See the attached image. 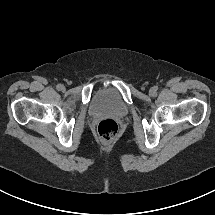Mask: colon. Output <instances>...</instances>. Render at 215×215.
Returning a JSON list of instances; mask_svg holds the SVG:
<instances>
[{
  "instance_id": "obj_1",
  "label": "colon",
  "mask_w": 215,
  "mask_h": 215,
  "mask_svg": "<svg viewBox=\"0 0 215 215\" xmlns=\"http://www.w3.org/2000/svg\"><path fill=\"white\" fill-rule=\"evenodd\" d=\"M99 137L105 141H112L119 132V126L113 119L102 120L97 127Z\"/></svg>"
}]
</instances>
